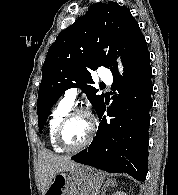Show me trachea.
Listing matches in <instances>:
<instances>
[{
  "mask_svg": "<svg viewBox=\"0 0 178 195\" xmlns=\"http://www.w3.org/2000/svg\"><path fill=\"white\" fill-rule=\"evenodd\" d=\"M101 87L103 88V87H105V85L102 84Z\"/></svg>",
  "mask_w": 178,
  "mask_h": 195,
  "instance_id": "3493384b",
  "label": "trachea"
}]
</instances>
